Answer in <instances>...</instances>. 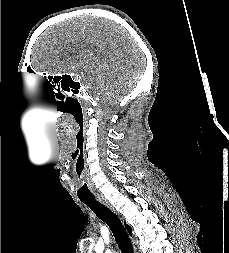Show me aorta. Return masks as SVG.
<instances>
[{
  "instance_id": "1",
  "label": "aorta",
  "mask_w": 229,
  "mask_h": 253,
  "mask_svg": "<svg viewBox=\"0 0 229 253\" xmlns=\"http://www.w3.org/2000/svg\"><path fill=\"white\" fill-rule=\"evenodd\" d=\"M106 253H112L111 251H107Z\"/></svg>"
}]
</instances>
